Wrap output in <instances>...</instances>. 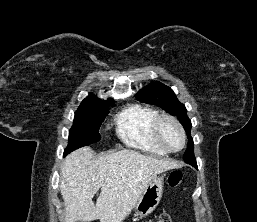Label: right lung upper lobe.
Masks as SVG:
<instances>
[{
	"label": "right lung upper lobe",
	"instance_id": "cb5924a9",
	"mask_svg": "<svg viewBox=\"0 0 257 222\" xmlns=\"http://www.w3.org/2000/svg\"><path fill=\"white\" fill-rule=\"evenodd\" d=\"M88 103L110 104V103H113V100H107V101L100 100L94 95L90 94L89 97L84 99L81 104H88Z\"/></svg>",
	"mask_w": 257,
	"mask_h": 222
}]
</instances>
